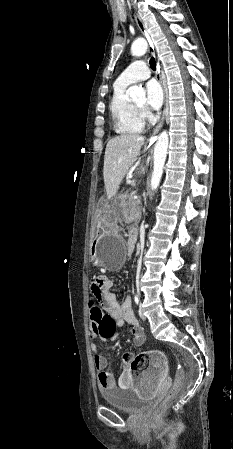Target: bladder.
<instances>
[{"label": "bladder", "instance_id": "obj_1", "mask_svg": "<svg viewBox=\"0 0 233 449\" xmlns=\"http://www.w3.org/2000/svg\"><path fill=\"white\" fill-rule=\"evenodd\" d=\"M102 396L108 405L130 413L148 409L153 404L150 399L139 398L133 389L118 387L102 389Z\"/></svg>", "mask_w": 233, "mask_h": 449}]
</instances>
